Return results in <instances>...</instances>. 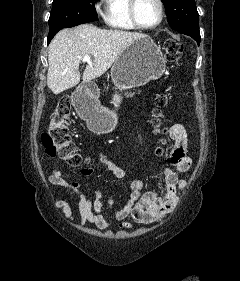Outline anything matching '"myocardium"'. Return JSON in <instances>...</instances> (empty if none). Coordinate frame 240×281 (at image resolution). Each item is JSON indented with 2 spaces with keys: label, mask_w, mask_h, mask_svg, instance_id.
<instances>
[{
  "label": "myocardium",
  "mask_w": 240,
  "mask_h": 281,
  "mask_svg": "<svg viewBox=\"0 0 240 281\" xmlns=\"http://www.w3.org/2000/svg\"><path fill=\"white\" fill-rule=\"evenodd\" d=\"M156 2L159 5V11H160L159 19L155 24L147 26V25H143L142 23H140V21L138 19V16H137L138 0H129V17H130L132 24L137 29L152 30V29L159 27L162 24L164 17H165V5H164L163 0H156Z\"/></svg>",
  "instance_id": "obj_1"
}]
</instances>
